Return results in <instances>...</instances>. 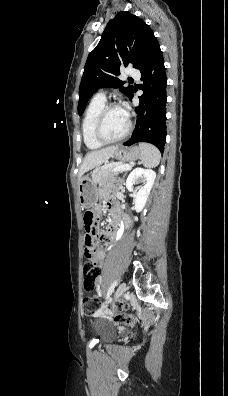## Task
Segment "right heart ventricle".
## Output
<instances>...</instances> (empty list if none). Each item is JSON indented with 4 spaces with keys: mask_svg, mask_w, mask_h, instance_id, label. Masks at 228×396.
<instances>
[{
    "mask_svg": "<svg viewBox=\"0 0 228 396\" xmlns=\"http://www.w3.org/2000/svg\"><path fill=\"white\" fill-rule=\"evenodd\" d=\"M105 105V98L95 96L89 103L83 121L82 136L86 147L90 150H96L103 146L94 135V125L98 113Z\"/></svg>",
    "mask_w": 228,
    "mask_h": 396,
    "instance_id": "right-heart-ventricle-1",
    "label": "right heart ventricle"
}]
</instances>
